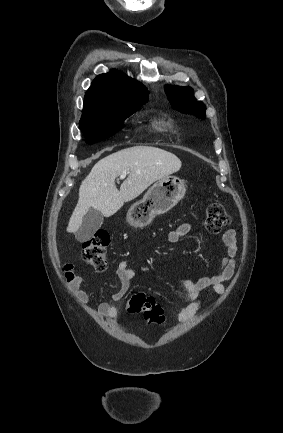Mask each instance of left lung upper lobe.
Masks as SVG:
<instances>
[{"mask_svg": "<svg viewBox=\"0 0 283 433\" xmlns=\"http://www.w3.org/2000/svg\"><path fill=\"white\" fill-rule=\"evenodd\" d=\"M166 94L172 106L182 113L193 114L198 118L205 119L206 106L197 101L190 87L166 86Z\"/></svg>", "mask_w": 283, "mask_h": 433, "instance_id": "5c2ea615", "label": "left lung upper lobe"}]
</instances>
